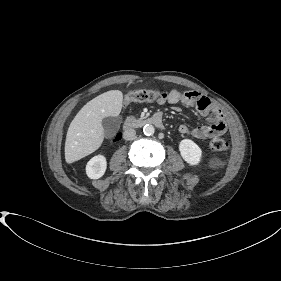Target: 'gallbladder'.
Returning <instances> with one entry per match:
<instances>
[{"label": "gallbladder", "mask_w": 281, "mask_h": 281, "mask_svg": "<svg viewBox=\"0 0 281 281\" xmlns=\"http://www.w3.org/2000/svg\"><path fill=\"white\" fill-rule=\"evenodd\" d=\"M122 122L121 117H105L102 120V126L104 129V136L107 138H110L115 135L117 130L120 127V124Z\"/></svg>", "instance_id": "gallbladder-1"}]
</instances>
